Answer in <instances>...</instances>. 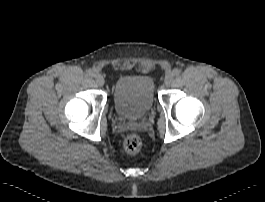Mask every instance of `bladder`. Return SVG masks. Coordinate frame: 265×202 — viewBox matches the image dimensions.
Returning <instances> with one entry per match:
<instances>
[{
    "label": "bladder",
    "mask_w": 265,
    "mask_h": 202,
    "mask_svg": "<svg viewBox=\"0 0 265 202\" xmlns=\"http://www.w3.org/2000/svg\"><path fill=\"white\" fill-rule=\"evenodd\" d=\"M156 100L155 83L149 76L119 78L113 88V105L123 119H136L148 113Z\"/></svg>",
    "instance_id": "bladder-1"
}]
</instances>
